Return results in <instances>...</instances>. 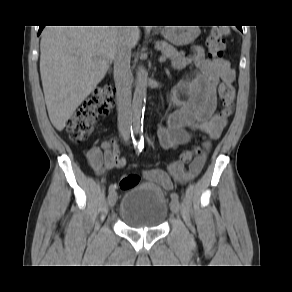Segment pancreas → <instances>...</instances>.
I'll return each mask as SVG.
<instances>
[{
    "label": "pancreas",
    "mask_w": 292,
    "mask_h": 292,
    "mask_svg": "<svg viewBox=\"0 0 292 292\" xmlns=\"http://www.w3.org/2000/svg\"><path fill=\"white\" fill-rule=\"evenodd\" d=\"M155 47L162 52L163 56L169 57L173 61L181 60L185 55L183 51L178 52L175 47L165 41L156 42Z\"/></svg>",
    "instance_id": "cf45deb5"
}]
</instances>
